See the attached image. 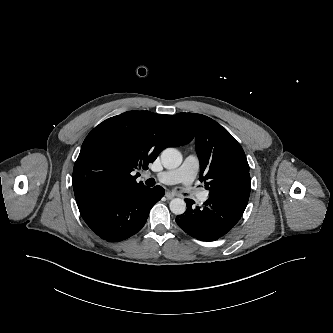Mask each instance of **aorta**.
Masks as SVG:
<instances>
[{
	"label": "aorta",
	"instance_id": "obj_1",
	"mask_svg": "<svg viewBox=\"0 0 333 333\" xmlns=\"http://www.w3.org/2000/svg\"><path fill=\"white\" fill-rule=\"evenodd\" d=\"M161 162L166 169H175L182 163V155L175 148H167L161 153ZM170 210L175 215H181L186 210V203L183 199L175 198L171 200Z\"/></svg>",
	"mask_w": 333,
	"mask_h": 333
}]
</instances>
